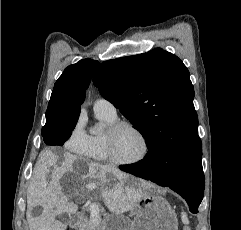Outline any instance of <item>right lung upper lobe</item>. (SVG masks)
Here are the masks:
<instances>
[{"mask_svg":"<svg viewBox=\"0 0 241 230\" xmlns=\"http://www.w3.org/2000/svg\"><path fill=\"white\" fill-rule=\"evenodd\" d=\"M98 65V61L83 59L64 70L53 88L46 111V121H78L85 90Z\"/></svg>","mask_w":241,"mask_h":230,"instance_id":"obj_1","label":"right lung upper lobe"}]
</instances>
